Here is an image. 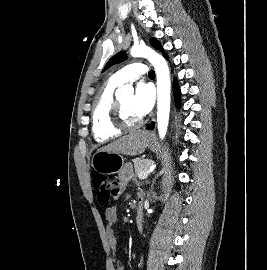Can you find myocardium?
<instances>
[{
  "mask_svg": "<svg viewBox=\"0 0 267 270\" xmlns=\"http://www.w3.org/2000/svg\"><path fill=\"white\" fill-rule=\"evenodd\" d=\"M112 123L121 131H130L143 125L144 120L141 118L136 122H130L126 119L119 100H115L112 112Z\"/></svg>",
  "mask_w": 267,
  "mask_h": 270,
  "instance_id": "1",
  "label": "myocardium"
}]
</instances>
